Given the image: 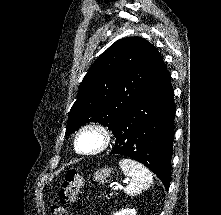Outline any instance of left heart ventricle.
Listing matches in <instances>:
<instances>
[{"mask_svg":"<svg viewBox=\"0 0 221 215\" xmlns=\"http://www.w3.org/2000/svg\"><path fill=\"white\" fill-rule=\"evenodd\" d=\"M101 144V137L97 132H85L79 139V147L83 151H92Z\"/></svg>","mask_w":221,"mask_h":215,"instance_id":"obj_1","label":"left heart ventricle"}]
</instances>
